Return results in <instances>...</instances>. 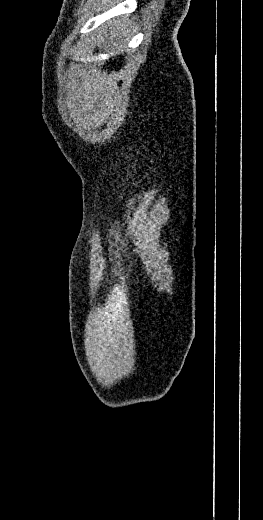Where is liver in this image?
<instances>
[{
	"mask_svg": "<svg viewBox=\"0 0 263 520\" xmlns=\"http://www.w3.org/2000/svg\"><path fill=\"white\" fill-rule=\"evenodd\" d=\"M128 23V22H127ZM126 22L118 20L117 22L113 23L112 21H109L108 27L111 29L109 34H107L106 30L103 29L99 32V40L102 44H104L108 39L113 44V46L117 49L119 48V45L122 42V35L125 33L126 29ZM108 35L110 36L108 38Z\"/></svg>",
	"mask_w": 263,
	"mask_h": 520,
	"instance_id": "1",
	"label": "liver"
}]
</instances>
